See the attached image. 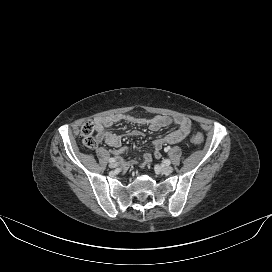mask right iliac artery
<instances>
[{"label":"right iliac artery","instance_id":"82829eb1","mask_svg":"<svg viewBox=\"0 0 272 272\" xmlns=\"http://www.w3.org/2000/svg\"><path fill=\"white\" fill-rule=\"evenodd\" d=\"M115 161H116V158H110V159H109V162H110V163H113V162H115Z\"/></svg>","mask_w":272,"mask_h":272}]
</instances>
